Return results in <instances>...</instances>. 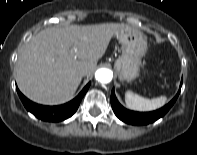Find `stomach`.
<instances>
[{
  "mask_svg": "<svg viewBox=\"0 0 197 155\" xmlns=\"http://www.w3.org/2000/svg\"><path fill=\"white\" fill-rule=\"evenodd\" d=\"M117 38L122 45V54L115 62L120 81L130 82L139 76L141 60L147 51V38L139 30L129 27L121 29Z\"/></svg>",
  "mask_w": 197,
  "mask_h": 155,
  "instance_id": "obj_1",
  "label": "stomach"
}]
</instances>
